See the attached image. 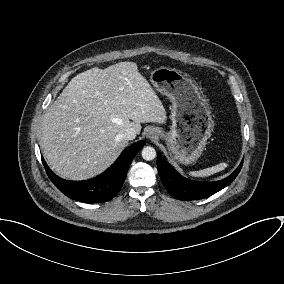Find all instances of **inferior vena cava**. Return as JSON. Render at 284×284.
Listing matches in <instances>:
<instances>
[{"label":"inferior vena cava","instance_id":"inferior-vena-cava-1","mask_svg":"<svg viewBox=\"0 0 284 284\" xmlns=\"http://www.w3.org/2000/svg\"><path fill=\"white\" fill-rule=\"evenodd\" d=\"M136 134H137V131L134 128L130 127V128H127L125 132L123 133V138L125 140H133L136 137Z\"/></svg>","mask_w":284,"mask_h":284}]
</instances>
